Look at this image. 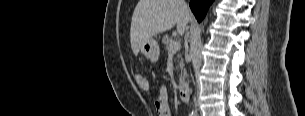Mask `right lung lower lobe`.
<instances>
[{"label": "right lung lower lobe", "instance_id": "obj_1", "mask_svg": "<svg viewBox=\"0 0 305 116\" xmlns=\"http://www.w3.org/2000/svg\"><path fill=\"white\" fill-rule=\"evenodd\" d=\"M212 2L213 0H190V8L199 22L204 18Z\"/></svg>", "mask_w": 305, "mask_h": 116}]
</instances>
